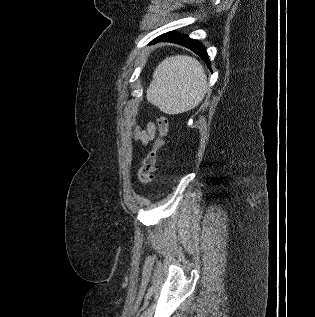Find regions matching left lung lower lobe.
Instances as JSON below:
<instances>
[{
	"mask_svg": "<svg viewBox=\"0 0 315 317\" xmlns=\"http://www.w3.org/2000/svg\"><path fill=\"white\" fill-rule=\"evenodd\" d=\"M159 40L177 43L191 49L205 61L208 67H210V60L208 58L206 48L199 41L191 39L187 35H179L174 31L165 33L155 39V41Z\"/></svg>",
	"mask_w": 315,
	"mask_h": 317,
	"instance_id": "1",
	"label": "left lung lower lobe"
}]
</instances>
